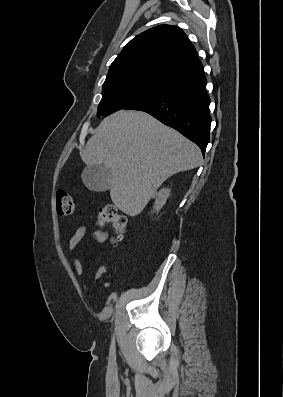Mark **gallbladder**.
Returning a JSON list of instances; mask_svg holds the SVG:
<instances>
[{
  "mask_svg": "<svg viewBox=\"0 0 283 397\" xmlns=\"http://www.w3.org/2000/svg\"><path fill=\"white\" fill-rule=\"evenodd\" d=\"M81 178L89 190L104 192L111 187L112 171L104 164L91 165L84 168Z\"/></svg>",
  "mask_w": 283,
  "mask_h": 397,
  "instance_id": "1",
  "label": "gallbladder"
}]
</instances>
